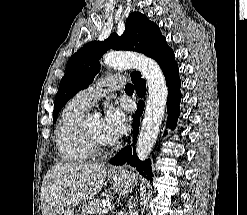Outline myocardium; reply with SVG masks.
Here are the masks:
<instances>
[{"label": "myocardium", "instance_id": "f54148a6", "mask_svg": "<svg viewBox=\"0 0 247 215\" xmlns=\"http://www.w3.org/2000/svg\"><path fill=\"white\" fill-rule=\"evenodd\" d=\"M82 134L88 148L93 154H101L107 151L110 147L108 142H102L97 139L85 126L82 125Z\"/></svg>", "mask_w": 247, "mask_h": 215}]
</instances>
